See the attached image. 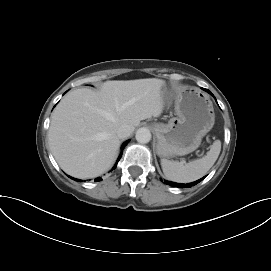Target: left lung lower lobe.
I'll list each match as a JSON object with an SVG mask.
<instances>
[{"label":"left lung lower lobe","instance_id":"obj_1","mask_svg":"<svg viewBox=\"0 0 271 271\" xmlns=\"http://www.w3.org/2000/svg\"><path fill=\"white\" fill-rule=\"evenodd\" d=\"M209 93H211L209 90H207ZM212 94V93H211ZM203 178L195 181V182H192V183H189V184H179V183H173V182H169V181H165L166 184L168 185H171V186H175V187H190V186H194L196 185L197 183H199Z\"/></svg>","mask_w":271,"mask_h":271}]
</instances>
